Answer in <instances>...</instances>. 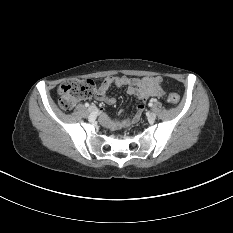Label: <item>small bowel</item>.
<instances>
[{"instance_id": "c3829d8e", "label": "small bowel", "mask_w": 233, "mask_h": 233, "mask_svg": "<svg viewBox=\"0 0 233 233\" xmlns=\"http://www.w3.org/2000/svg\"><path fill=\"white\" fill-rule=\"evenodd\" d=\"M162 78L159 76L135 78L129 76H108L100 84L96 93V99L109 105L115 104L116 100L112 96L108 95V90L111 86L117 87L126 86L127 93L132 96H136L139 99L136 112L129 118L124 120V123H130L137 121L142 115L146 101L150 97H161L163 95V89L161 87ZM100 120L103 125L114 128L118 125L116 121L111 119L106 113L100 115Z\"/></svg>"}]
</instances>
